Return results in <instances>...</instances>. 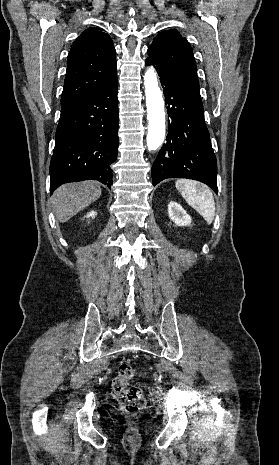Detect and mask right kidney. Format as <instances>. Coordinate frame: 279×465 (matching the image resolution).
<instances>
[{
	"mask_svg": "<svg viewBox=\"0 0 279 465\" xmlns=\"http://www.w3.org/2000/svg\"><path fill=\"white\" fill-rule=\"evenodd\" d=\"M96 214H97V213H96L95 211H91V212H89V213L86 215V218H89V217L95 218Z\"/></svg>",
	"mask_w": 279,
	"mask_h": 465,
	"instance_id": "obj_1",
	"label": "right kidney"
}]
</instances>
